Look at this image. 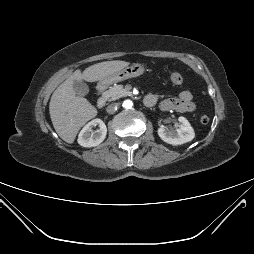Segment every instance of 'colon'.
<instances>
[{"mask_svg": "<svg viewBox=\"0 0 254 254\" xmlns=\"http://www.w3.org/2000/svg\"><path fill=\"white\" fill-rule=\"evenodd\" d=\"M169 78L171 82L176 85H181L184 83V77L178 72L170 73ZM199 120L202 124H207L209 122V116L203 113L199 116Z\"/></svg>", "mask_w": 254, "mask_h": 254, "instance_id": "colon-1", "label": "colon"}]
</instances>
